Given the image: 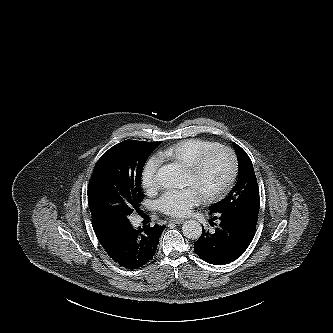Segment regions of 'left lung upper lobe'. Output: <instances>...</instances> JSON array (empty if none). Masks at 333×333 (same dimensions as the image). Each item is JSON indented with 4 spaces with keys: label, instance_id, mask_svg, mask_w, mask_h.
I'll use <instances>...</instances> for the list:
<instances>
[{
    "label": "left lung upper lobe",
    "instance_id": "1",
    "mask_svg": "<svg viewBox=\"0 0 333 333\" xmlns=\"http://www.w3.org/2000/svg\"><path fill=\"white\" fill-rule=\"evenodd\" d=\"M238 156L239 178L231 194L210 206V211L254 214L259 212L260 196L252 162L247 153L234 144Z\"/></svg>",
    "mask_w": 333,
    "mask_h": 333
}]
</instances>
